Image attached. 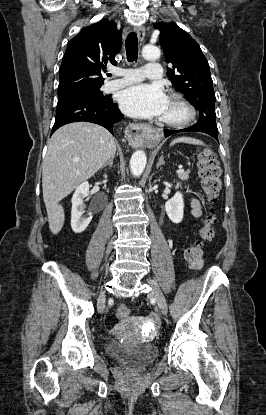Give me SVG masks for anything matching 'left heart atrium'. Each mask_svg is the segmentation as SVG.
<instances>
[{"label":"left heart atrium","instance_id":"left-heart-atrium-1","mask_svg":"<svg viewBox=\"0 0 266 415\" xmlns=\"http://www.w3.org/2000/svg\"><path fill=\"white\" fill-rule=\"evenodd\" d=\"M168 102L162 86L157 83L131 86L120 96L121 109L134 118L161 117Z\"/></svg>","mask_w":266,"mask_h":415}]
</instances>
